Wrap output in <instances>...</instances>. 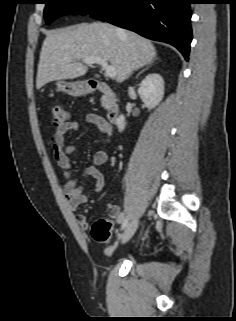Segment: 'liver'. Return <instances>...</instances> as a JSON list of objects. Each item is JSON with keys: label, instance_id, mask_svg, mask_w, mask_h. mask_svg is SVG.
Masks as SVG:
<instances>
[{"label": "liver", "instance_id": "1", "mask_svg": "<svg viewBox=\"0 0 236 321\" xmlns=\"http://www.w3.org/2000/svg\"><path fill=\"white\" fill-rule=\"evenodd\" d=\"M156 54L148 39L108 23H81L50 31L41 48L36 88L85 75L88 66L81 60L95 56L114 66L116 81L122 83L133 70L152 62Z\"/></svg>", "mask_w": 236, "mask_h": 321}]
</instances>
